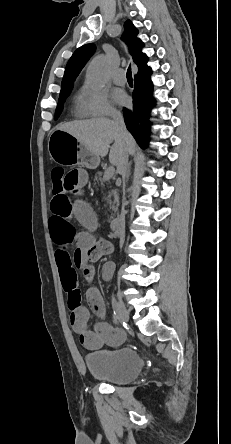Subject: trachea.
I'll list each match as a JSON object with an SVG mask.
<instances>
[{
    "mask_svg": "<svg viewBox=\"0 0 231 444\" xmlns=\"http://www.w3.org/2000/svg\"><path fill=\"white\" fill-rule=\"evenodd\" d=\"M127 80L132 81V71H131V66H129L128 69H127Z\"/></svg>",
    "mask_w": 231,
    "mask_h": 444,
    "instance_id": "3493384b",
    "label": "trachea"
}]
</instances>
